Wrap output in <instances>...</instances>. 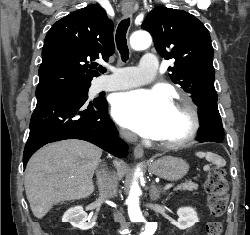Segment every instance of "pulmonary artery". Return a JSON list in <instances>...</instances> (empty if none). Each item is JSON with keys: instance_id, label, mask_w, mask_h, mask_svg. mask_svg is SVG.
Instances as JSON below:
<instances>
[{"instance_id": "pulmonary-artery-1", "label": "pulmonary artery", "mask_w": 250, "mask_h": 235, "mask_svg": "<svg viewBox=\"0 0 250 235\" xmlns=\"http://www.w3.org/2000/svg\"><path fill=\"white\" fill-rule=\"evenodd\" d=\"M157 67L158 60L155 55L144 54L139 66L118 69L108 79L97 82V88L99 91H114L142 85L152 79V73Z\"/></svg>"}]
</instances>
